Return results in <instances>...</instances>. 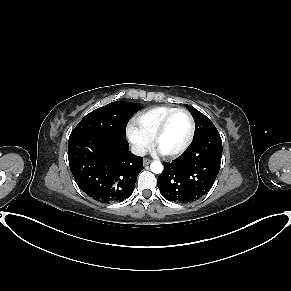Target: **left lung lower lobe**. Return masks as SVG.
I'll return each mask as SVG.
<instances>
[{"instance_id":"1","label":"left lung lower lobe","mask_w":291,"mask_h":291,"mask_svg":"<svg viewBox=\"0 0 291 291\" xmlns=\"http://www.w3.org/2000/svg\"><path fill=\"white\" fill-rule=\"evenodd\" d=\"M222 150L219 133L193 141L180 157L164 163L157 178L161 195L169 201L190 203L207 194L218 175Z\"/></svg>"}]
</instances>
